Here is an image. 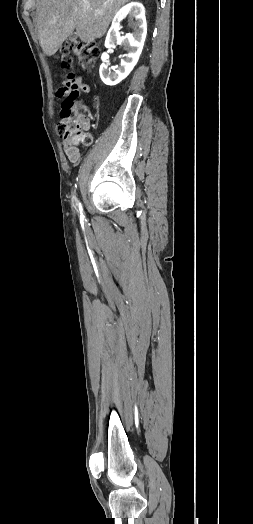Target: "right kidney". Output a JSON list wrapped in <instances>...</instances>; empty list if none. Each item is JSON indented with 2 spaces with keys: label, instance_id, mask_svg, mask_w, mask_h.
<instances>
[{
  "label": "right kidney",
  "instance_id": "ca27d5eb",
  "mask_svg": "<svg viewBox=\"0 0 253 524\" xmlns=\"http://www.w3.org/2000/svg\"><path fill=\"white\" fill-rule=\"evenodd\" d=\"M126 17L130 19L135 18V22L132 24L134 33H127L125 36H121L119 32L121 29L120 22ZM146 34L145 9L141 3L132 2L117 12L107 33L105 47L111 49L115 47V44L123 45L127 54L126 58L121 60L120 67L117 69L113 68L112 72L108 67L109 55L107 53L102 54L101 60L103 63L100 66L99 74L104 84L116 85L130 74L138 62Z\"/></svg>",
  "mask_w": 253,
  "mask_h": 524
}]
</instances>
